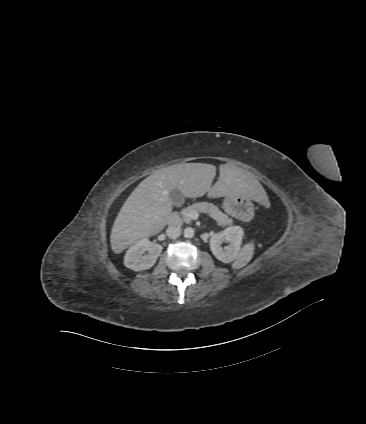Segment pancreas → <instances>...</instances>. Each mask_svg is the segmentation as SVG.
Returning <instances> with one entry per match:
<instances>
[{"label":"pancreas","instance_id":"obj_1","mask_svg":"<svg viewBox=\"0 0 366 424\" xmlns=\"http://www.w3.org/2000/svg\"><path fill=\"white\" fill-rule=\"evenodd\" d=\"M190 211H197L200 213L208 214L219 226L231 225L233 223L232 219L229 218L226 214H224L221 210H219L213 204L208 202H201L197 204H193L183 209L182 217L183 221L189 223L191 219L187 218L184 213Z\"/></svg>","mask_w":366,"mask_h":424}]
</instances>
